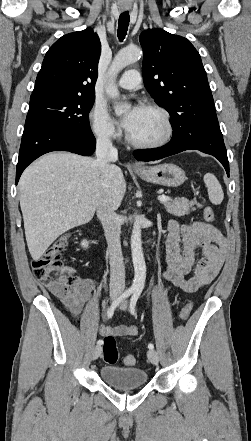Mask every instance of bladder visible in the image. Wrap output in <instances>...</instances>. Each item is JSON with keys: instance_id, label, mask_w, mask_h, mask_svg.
Wrapping results in <instances>:
<instances>
[{"instance_id": "obj_1", "label": "bladder", "mask_w": 251, "mask_h": 441, "mask_svg": "<svg viewBox=\"0 0 251 441\" xmlns=\"http://www.w3.org/2000/svg\"><path fill=\"white\" fill-rule=\"evenodd\" d=\"M100 378L116 389L138 388L148 382V374L145 370L115 365H104L100 369Z\"/></svg>"}]
</instances>
